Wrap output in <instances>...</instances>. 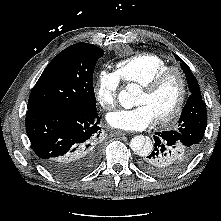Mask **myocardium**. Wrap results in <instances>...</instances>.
I'll return each mask as SVG.
<instances>
[{"instance_id":"f54148a6","label":"myocardium","mask_w":221,"mask_h":221,"mask_svg":"<svg viewBox=\"0 0 221 221\" xmlns=\"http://www.w3.org/2000/svg\"><path fill=\"white\" fill-rule=\"evenodd\" d=\"M176 74L179 82H180V93L178 100L175 106L172 108L170 112L167 114L156 118V121L159 124H166L173 121L178 115L181 113L187 96H188V82L185 73L183 70L178 66H168L167 68L163 69L159 73H157L152 79H150L145 84L141 85L142 89L147 93H154L157 91L160 86L164 83V81L171 75Z\"/></svg>"}]
</instances>
